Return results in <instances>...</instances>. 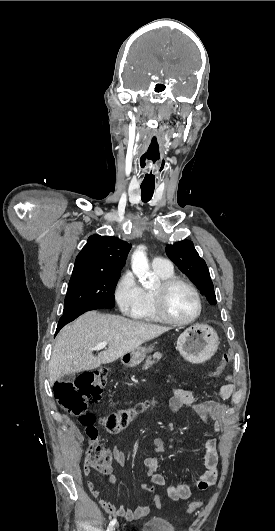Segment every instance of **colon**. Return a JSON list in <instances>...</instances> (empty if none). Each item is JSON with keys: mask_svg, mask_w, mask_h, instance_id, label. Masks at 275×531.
I'll return each mask as SVG.
<instances>
[{"mask_svg": "<svg viewBox=\"0 0 275 531\" xmlns=\"http://www.w3.org/2000/svg\"><path fill=\"white\" fill-rule=\"evenodd\" d=\"M222 359L217 370L212 374L214 379H219L226 365L232 360L233 353L226 349L222 353ZM108 371L106 369H95L83 371L74 381H57L53 387V395L59 405L68 413L76 416L80 424L84 427L89 440L88 459L89 466L98 469L99 472L107 471L108 462L104 459L108 447L99 439V430L93 425L95 414L87 409L88 404L98 402L101 399L102 388L107 383ZM147 404H139L134 408L123 409L104 415L100 418L103 424L101 428L104 432L115 433L125 428L140 413L148 409ZM142 488L147 492L154 490L152 483H144ZM202 505V501H195L190 504L193 511ZM156 511L161 509L159 504L154 506Z\"/></svg>", "mask_w": 275, "mask_h": 531, "instance_id": "colon-1", "label": "colon"}]
</instances>
